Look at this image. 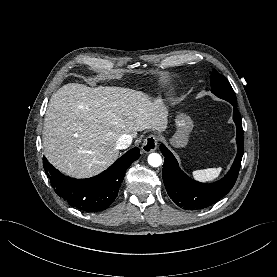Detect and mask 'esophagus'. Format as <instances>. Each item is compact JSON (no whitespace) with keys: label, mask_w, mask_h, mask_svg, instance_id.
Returning <instances> with one entry per match:
<instances>
[{"label":"esophagus","mask_w":277,"mask_h":277,"mask_svg":"<svg viewBox=\"0 0 277 277\" xmlns=\"http://www.w3.org/2000/svg\"><path fill=\"white\" fill-rule=\"evenodd\" d=\"M157 146L158 138L156 136L150 135L144 140L141 149L144 153H150L155 151Z\"/></svg>","instance_id":"esophagus-1"}]
</instances>
